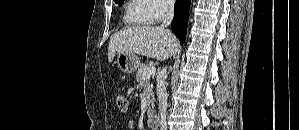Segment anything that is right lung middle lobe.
I'll return each instance as SVG.
<instances>
[{"mask_svg":"<svg viewBox=\"0 0 299 130\" xmlns=\"http://www.w3.org/2000/svg\"><path fill=\"white\" fill-rule=\"evenodd\" d=\"M124 2V0H118V1H116L115 3H117V4H122Z\"/></svg>","mask_w":299,"mask_h":130,"instance_id":"obj_1","label":"right lung middle lobe"}]
</instances>
